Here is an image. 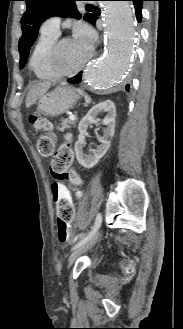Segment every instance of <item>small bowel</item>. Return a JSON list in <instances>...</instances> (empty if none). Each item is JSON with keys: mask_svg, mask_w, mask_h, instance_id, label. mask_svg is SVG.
<instances>
[{"mask_svg": "<svg viewBox=\"0 0 183 329\" xmlns=\"http://www.w3.org/2000/svg\"><path fill=\"white\" fill-rule=\"evenodd\" d=\"M48 187L54 201V218H75L76 206L72 201L73 187H67L62 182H49ZM66 242L71 243L68 239Z\"/></svg>", "mask_w": 183, "mask_h": 329, "instance_id": "obj_1", "label": "small bowel"}]
</instances>
